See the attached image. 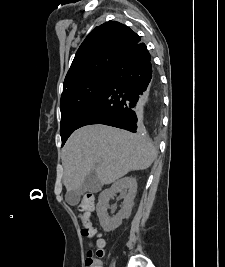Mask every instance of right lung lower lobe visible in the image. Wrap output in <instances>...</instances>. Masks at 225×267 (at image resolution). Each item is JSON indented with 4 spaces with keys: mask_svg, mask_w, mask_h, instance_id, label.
<instances>
[{
    "mask_svg": "<svg viewBox=\"0 0 225 267\" xmlns=\"http://www.w3.org/2000/svg\"><path fill=\"white\" fill-rule=\"evenodd\" d=\"M153 87L158 89V79L151 55L144 43H138L120 56L98 98L76 129L90 124H105L136 132L137 102Z\"/></svg>",
    "mask_w": 225,
    "mask_h": 267,
    "instance_id": "1",
    "label": "right lung lower lobe"
}]
</instances>
